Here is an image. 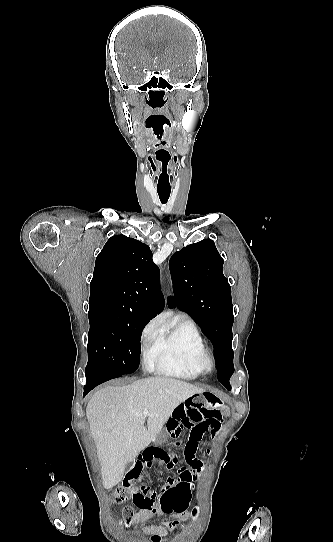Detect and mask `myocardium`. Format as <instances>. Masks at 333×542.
<instances>
[{
	"mask_svg": "<svg viewBox=\"0 0 333 542\" xmlns=\"http://www.w3.org/2000/svg\"><path fill=\"white\" fill-rule=\"evenodd\" d=\"M199 368L201 370V372L203 373H210L214 370L215 368V361H214V358L213 356L208 353V352H204L200 358H199Z\"/></svg>",
	"mask_w": 333,
	"mask_h": 542,
	"instance_id": "f54148a6",
	"label": "myocardium"
}]
</instances>
